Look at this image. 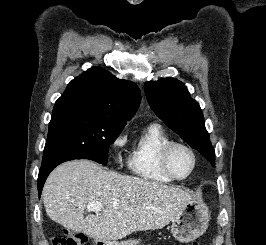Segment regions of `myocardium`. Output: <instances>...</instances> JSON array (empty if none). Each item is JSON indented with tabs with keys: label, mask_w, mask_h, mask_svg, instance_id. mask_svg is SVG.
Instances as JSON below:
<instances>
[{
	"label": "myocardium",
	"mask_w": 266,
	"mask_h": 245,
	"mask_svg": "<svg viewBox=\"0 0 266 245\" xmlns=\"http://www.w3.org/2000/svg\"><path fill=\"white\" fill-rule=\"evenodd\" d=\"M178 147L186 149L193 158V166L190 172L184 177L176 176L170 164L171 154L173 150ZM160 160L164 172L174 181H184L189 179L196 171L198 165V156L196 151L190 145L180 141H170L169 143H167L161 150Z\"/></svg>",
	"instance_id": "1"
}]
</instances>
